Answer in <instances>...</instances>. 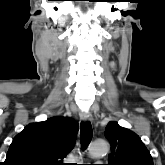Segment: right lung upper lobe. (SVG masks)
Segmentation results:
<instances>
[{
	"instance_id": "cb5924a9",
	"label": "right lung upper lobe",
	"mask_w": 165,
	"mask_h": 165,
	"mask_svg": "<svg viewBox=\"0 0 165 165\" xmlns=\"http://www.w3.org/2000/svg\"><path fill=\"white\" fill-rule=\"evenodd\" d=\"M77 132V122L68 117L31 123L14 137L4 165H62L75 145Z\"/></svg>"
}]
</instances>
